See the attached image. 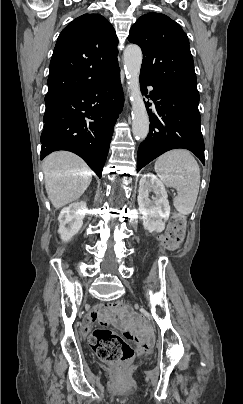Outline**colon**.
<instances>
[{"instance_id": "obj_1", "label": "colon", "mask_w": 243, "mask_h": 404, "mask_svg": "<svg viewBox=\"0 0 243 404\" xmlns=\"http://www.w3.org/2000/svg\"><path fill=\"white\" fill-rule=\"evenodd\" d=\"M185 227L186 220L183 215L177 214L173 216L164 236L160 240L161 248L168 251L176 250L184 238ZM107 305L121 315H130L132 313L130 307L121 301H111ZM127 339H135L137 343L136 352L139 354L147 353L152 346L151 340L147 338L129 336ZM90 343L98 357L107 362L126 363L135 354L133 347L125 338L107 328L96 329L90 337Z\"/></svg>"}]
</instances>
